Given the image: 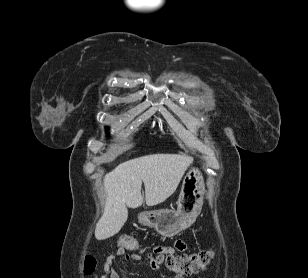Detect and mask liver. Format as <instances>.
<instances>
[{"label": "liver", "mask_w": 308, "mask_h": 278, "mask_svg": "<svg viewBox=\"0 0 308 278\" xmlns=\"http://www.w3.org/2000/svg\"><path fill=\"white\" fill-rule=\"evenodd\" d=\"M192 158L183 154H152L118 165L104 178L106 202L95 228L97 240L117 234L128 217L127 207L143 204L142 182L147 206L163 203L177 189Z\"/></svg>", "instance_id": "1"}]
</instances>
